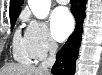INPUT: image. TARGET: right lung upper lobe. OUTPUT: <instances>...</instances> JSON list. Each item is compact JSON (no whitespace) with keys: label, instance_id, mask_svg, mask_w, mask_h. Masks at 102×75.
Segmentation results:
<instances>
[{"label":"right lung upper lobe","instance_id":"right-lung-upper-lobe-1","mask_svg":"<svg viewBox=\"0 0 102 75\" xmlns=\"http://www.w3.org/2000/svg\"><path fill=\"white\" fill-rule=\"evenodd\" d=\"M23 0H10V16L19 15Z\"/></svg>","mask_w":102,"mask_h":75}]
</instances>
